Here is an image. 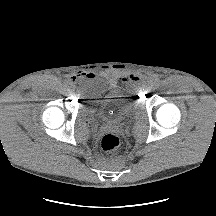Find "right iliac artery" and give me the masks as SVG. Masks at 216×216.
I'll use <instances>...</instances> for the list:
<instances>
[{
  "label": "right iliac artery",
  "instance_id": "right-iliac-artery-1",
  "mask_svg": "<svg viewBox=\"0 0 216 216\" xmlns=\"http://www.w3.org/2000/svg\"><path fill=\"white\" fill-rule=\"evenodd\" d=\"M66 90H67V91H70V90H71V87H70V86H67V87H66Z\"/></svg>",
  "mask_w": 216,
  "mask_h": 216
}]
</instances>
